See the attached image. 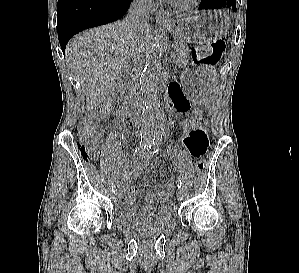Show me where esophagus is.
Instances as JSON below:
<instances>
[{"label": "esophagus", "mask_w": 299, "mask_h": 273, "mask_svg": "<svg viewBox=\"0 0 299 273\" xmlns=\"http://www.w3.org/2000/svg\"><path fill=\"white\" fill-rule=\"evenodd\" d=\"M155 21L158 24H168L171 22V20L162 13H158L155 15Z\"/></svg>", "instance_id": "obj_1"}]
</instances>
